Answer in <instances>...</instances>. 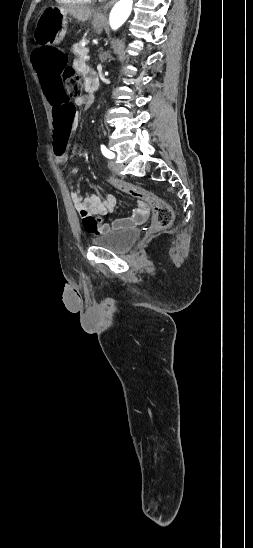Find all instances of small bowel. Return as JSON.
I'll return each instance as SVG.
<instances>
[{
  "mask_svg": "<svg viewBox=\"0 0 253 548\" xmlns=\"http://www.w3.org/2000/svg\"><path fill=\"white\" fill-rule=\"evenodd\" d=\"M74 68L82 72L85 76V79H87L90 75H94L91 70H89L83 63L79 61L74 63ZM92 102L93 95L86 93L84 95L76 97L75 102L72 104L74 105L76 112L77 108L89 106ZM71 134L72 133H70L69 139L65 141L67 147L63 149L64 156L62 158H57L53 149L55 161L58 164H68L69 158L67 150ZM70 172L77 176L83 175V173H81L77 167H71ZM71 199L77 211L81 213V218L86 231L94 235H100L110 231L133 227L144 222L149 215L148 205L144 201H138L135 207L132 209L130 216L126 218L116 219L111 223H107L104 222L103 218L108 213L114 212L117 206V200L113 195H84L81 192L71 191Z\"/></svg>",
  "mask_w": 253,
  "mask_h": 548,
  "instance_id": "small-bowel-1",
  "label": "small bowel"
}]
</instances>
